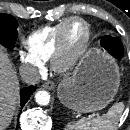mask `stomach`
<instances>
[{"mask_svg": "<svg viewBox=\"0 0 130 130\" xmlns=\"http://www.w3.org/2000/svg\"><path fill=\"white\" fill-rule=\"evenodd\" d=\"M119 83V68L114 59L100 49H91L76 67L72 78L58 86V98L77 112H95L113 101Z\"/></svg>", "mask_w": 130, "mask_h": 130, "instance_id": "1", "label": "stomach"}]
</instances>
